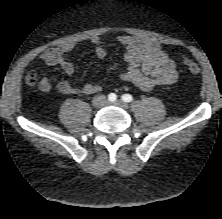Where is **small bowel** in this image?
<instances>
[{"label": "small bowel", "mask_w": 222, "mask_h": 219, "mask_svg": "<svg viewBox=\"0 0 222 219\" xmlns=\"http://www.w3.org/2000/svg\"><path fill=\"white\" fill-rule=\"evenodd\" d=\"M116 39L126 48L124 60L127 68L118 75L120 79L134 84L143 91L171 85L177 81L178 72L175 61L168 56L156 40L132 35H120ZM92 44L95 55L98 58H104L106 49L103 40L99 36H95ZM74 47V43H64L45 50L40 54L39 59L48 65H58L65 73L74 75L76 67L68 59V54ZM36 85L42 92H49L53 89V83L47 76L37 80ZM55 88L62 94L75 95L95 94L101 90V86L95 83L74 86L66 80L58 82Z\"/></svg>", "instance_id": "c3829d8e"}]
</instances>
